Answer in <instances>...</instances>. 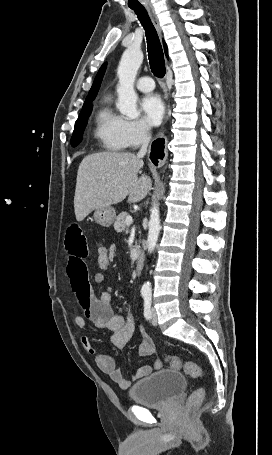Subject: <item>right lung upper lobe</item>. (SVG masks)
Here are the masks:
<instances>
[{
	"label": "right lung upper lobe",
	"instance_id": "cb5924a9",
	"mask_svg": "<svg viewBox=\"0 0 272 455\" xmlns=\"http://www.w3.org/2000/svg\"><path fill=\"white\" fill-rule=\"evenodd\" d=\"M164 43V49H165V54L166 56L168 57V52H167V47H166V44L165 42ZM105 70H106V63H104L101 68L99 69L96 77H95V80L93 82V85L88 93V96L86 97V100L85 102H89V101H93L98 93V90L100 88V85H101V82H102V79H103V76H104V73H105Z\"/></svg>",
	"mask_w": 272,
	"mask_h": 455
}]
</instances>
